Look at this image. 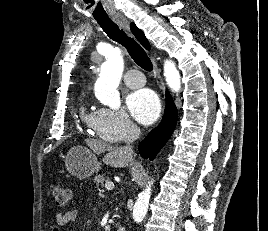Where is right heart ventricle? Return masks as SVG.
<instances>
[{
	"instance_id": "obj_1",
	"label": "right heart ventricle",
	"mask_w": 268,
	"mask_h": 231,
	"mask_svg": "<svg viewBox=\"0 0 268 231\" xmlns=\"http://www.w3.org/2000/svg\"><path fill=\"white\" fill-rule=\"evenodd\" d=\"M80 117L88 126H92L94 121V112L90 111L85 104H82L80 107Z\"/></svg>"
}]
</instances>
